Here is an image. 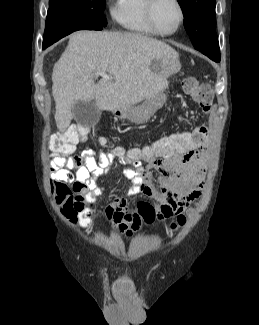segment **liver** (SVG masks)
<instances>
[{
  "instance_id": "obj_1",
  "label": "liver",
  "mask_w": 259,
  "mask_h": 325,
  "mask_svg": "<svg viewBox=\"0 0 259 325\" xmlns=\"http://www.w3.org/2000/svg\"><path fill=\"white\" fill-rule=\"evenodd\" d=\"M180 68L177 51L141 33L78 31L52 72L57 128L69 127L78 101L94 99L98 110L111 111L151 99L166 88L164 76ZM98 71L111 79L95 83Z\"/></svg>"
}]
</instances>
